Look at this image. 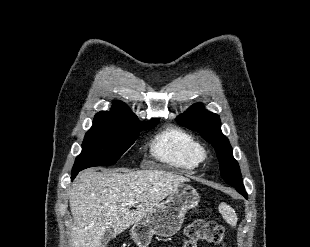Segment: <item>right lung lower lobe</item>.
I'll return each mask as SVG.
<instances>
[{
	"label": "right lung lower lobe",
	"mask_w": 310,
	"mask_h": 247,
	"mask_svg": "<svg viewBox=\"0 0 310 247\" xmlns=\"http://www.w3.org/2000/svg\"><path fill=\"white\" fill-rule=\"evenodd\" d=\"M78 172H79V171H72V172H71V180H73V179L76 177V175L78 174Z\"/></svg>",
	"instance_id": "1"
}]
</instances>
